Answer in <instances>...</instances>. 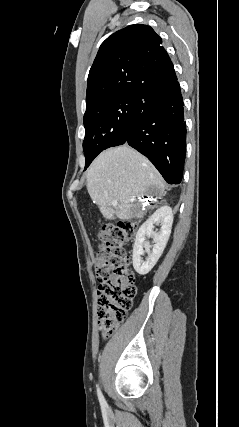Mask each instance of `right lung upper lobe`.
Listing matches in <instances>:
<instances>
[{"mask_svg":"<svg viewBox=\"0 0 239 427\" xmlns=\"http://www.w3.org/2000/svg\"><path fill=\"white\" fill-rule=\"evenodd\" d=\"M176 78L160 36L150 26L130 25L100 46L88 75L86 107L107 99L139 97Z\"/></svg>","mask_w":239,"mask_h":427,"instance_id":"obj_1","label":"right lung upper lobe"}]
</instances>
